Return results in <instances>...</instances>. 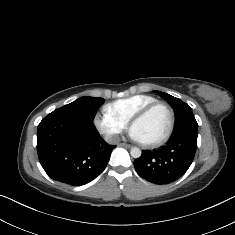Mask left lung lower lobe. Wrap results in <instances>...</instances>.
Masks as SVG:
<instances>
[{
    "label": "left lung lower lobe",
    "instance_id": "1",
    "mask_svg": "<svg viewBox=\"0 0 235 235\" xmlns=\"http://www.w3.org/2000/svg\"><path fill=\"white\" fill-rule=\"evenodd\" d=\"M197 148V137H171L167 145L154 151H143L134 161L137 173L154 184H168L180 178L190 167Z\"/></svg>",
    "mask_w": 235,
    "mask_h": 235
}]
</instances>
